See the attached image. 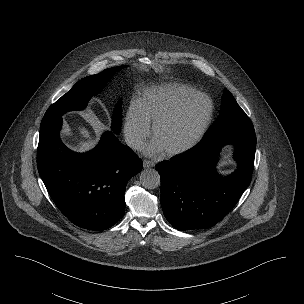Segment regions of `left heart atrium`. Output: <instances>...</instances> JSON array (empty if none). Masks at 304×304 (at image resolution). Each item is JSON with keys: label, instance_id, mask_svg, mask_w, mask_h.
I'll list each match as a JSON object with an SVG mask.
<instances>
[{"label": "left heart atrium", "instance_id": "left-heart-atrium-1", "mask_svg": "<svg viewBox=\"0 0 304 304\" xmlns=\"http://www.w3.org/2000/svg\"><path fill=\"white\" fill-rule=\"evenodd\" d=\"M163 151H164V148L156 139H154L149 145H147L145 147V152L148 155H152V156L159 155Z\"/></svg>", "mask_w": 304, "mask_h": 304}]
</instances>
